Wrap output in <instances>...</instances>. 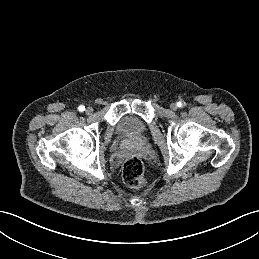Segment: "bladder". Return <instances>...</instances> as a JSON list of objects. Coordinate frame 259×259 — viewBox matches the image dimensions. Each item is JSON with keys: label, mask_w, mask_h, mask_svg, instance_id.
<instances>
[{"label": "bladder", "mask_w": 259, "mask_h": 259, "mask_svg": "<svg viewBox=\"0 0 259 259\" xmlns=\"http://www.w3.org/2000/svg\"><path fill=\"white\" fill-rule=\"evenodd\" d=\"M146 123L134 115H127L120 119L117 125V134L125 142H140L147 135Z\"/></svg>", "instance_id": "1"}]
</instances>
